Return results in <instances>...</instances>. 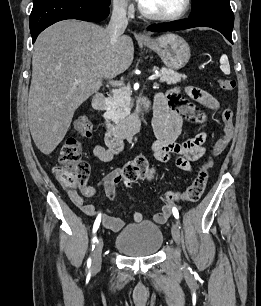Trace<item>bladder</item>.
Returning <instances> with one entry per match:
<instances>
[{
	"label": "bladder",
	"instance_id": "bladder-1",
	"mask_svg": "<svg viewBox=\"0 0 261 306\" xmlns=\"http://www.w3.org/2000/svg\"><path fill=\"white\" fill-rule=\"evenodd\" d=\"M161 228L143 221L124 227L114 239V247L129 257H148L156 254L163 244Z\"/></svg>",
	"mask_w": 261,
	"mask_h": 306
}]
</instances>
